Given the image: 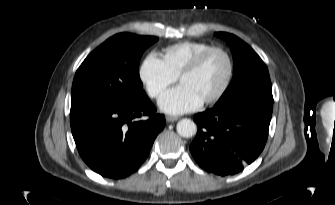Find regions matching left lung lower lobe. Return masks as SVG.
I'll list each match as a JSON object with an SVG mask.
<instances>
[{"mask_svg": "<svg viewBox=\"0 0 335 205\" xmlns=\"http://www.w3.org/2000/svg\"><path fill=\"white\" fill-rule=\"evenodd\" d=\"M273 104L238 98L194 117L199 128L190 151L206 171L234 175L252 163L266 144Z\"/></svg>", "mask_w": 335, "mask_h": 205, "instance_id": "0a47b994", "label": "left lung lower lobe"}]
</instances>
